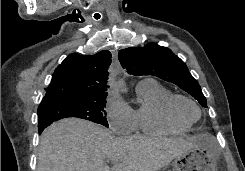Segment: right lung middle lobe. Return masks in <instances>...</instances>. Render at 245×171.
Here are the masks:
<instances>
[{"instance_id": "dd1d6c3e", "label": "right lung middle lobe", "mask_w": 245, "mask_h": 171, "mask_svg": "<svg viewBox=\"0 0 245 171\" xmlns=\"http://www.w3.org/2000/svg\"><path fill=\"white\" fill-rule=\"evenodd\" d=\"M106 96L94 98L48 100L39 105L38 121H57L67 117L86 119L108 127L106 119Z\"/></svg>"}]
</instances>
